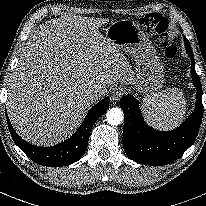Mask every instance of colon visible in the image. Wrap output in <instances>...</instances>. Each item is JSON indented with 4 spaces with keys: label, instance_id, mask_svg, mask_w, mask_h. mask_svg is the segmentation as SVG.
<instances>
[{
    "label": "colon",
    "instance_id": "colon-1",
    "mask_svg": "<svg viewBox=\"0 0 206 206\" xmlns=\"http://www.w3.org/2000/svg\"><path fill=\"white\" fill-rule=\"evenodd\" d=\"M139 24L148 31L154 32L162 41V49L166 58L172 60L177 56V48L166 41L167 20L159 14H149L139 19Z\"/></svg>",
    "mask_w": 206,
    "mask_h": 206
}]
</instances>
